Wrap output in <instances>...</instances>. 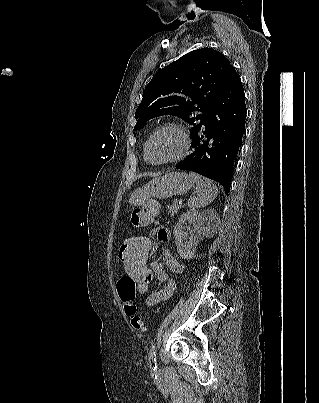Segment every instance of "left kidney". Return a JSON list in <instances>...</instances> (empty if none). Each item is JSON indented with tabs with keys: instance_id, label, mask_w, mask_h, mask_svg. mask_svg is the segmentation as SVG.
<instances>
[{
	"instance_id": "1",
	"label": "left kidney",
	"mask_w": 319,
	"mask_h": 403,
	"mask_svg": "<svg viewBox=\"0 0 319 403\" xmlns=\"http://www.w3.org/2000/svg\"><path fill=\"white\" fill-rule=\"evenodd\" d=\"M217 213L214 209L210 208L203 212H198L196 209L187 210L181 215L177 224L174 227L175 243L177 245L178 253L182 258H192L196 246L203 238L206 226H209L210 222L217 219ZM188 222L192 225L189 229V233L184 232V225ZM188 237L189 241H185Z\"/></svg>"
}]
</instances>
